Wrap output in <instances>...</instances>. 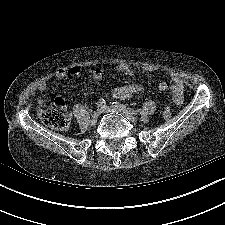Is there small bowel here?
Returning a JSON list of instances; mask_svg holds the SVG:
<instances>
[{"instance_id": "c3829d8e", "label": "small bowel", "mask_w": 225, "mask_h": 225, "mask_svg": "<svg viewBox=\"0 0 225 225\" xmlns=\"http://www.w3.org/2000/svg\"><path fill=\"white\" fill-rule=\"evenodd\" d=\"M119 72L124 75L131 76L133 74L132 68L129 65H120L118 68ZM81 72L78 66H73L68 69H59L55 72V78L58 80H63L67 76L77 77ZM91 76L95 80L102 78V70L96 68L92 71ZM159 89L165 91L168 89V84L166 82H161L159 84ZM173 94V100L176 104H181L183 102V84L179 77H173V83L170 86ZM37 90L40 94L45 93L48 90V84L46 81L39 82ZM141 88L137 84H128L123 86H118L113 91V96L117 99H128L134 94L140 92ZM61 99V98H58ZM38 104L40 106L44 105V98L40 96L38 98Z\"/></svg>"}]
</instances>
